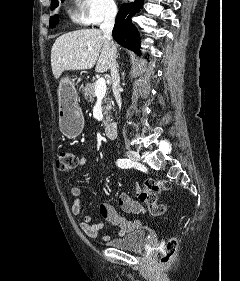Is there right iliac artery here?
<instances>
[{"label":"right iliac artery","mask_w":240,"mask_h":281,"mask_svg":"<svg viewBox=\"0 0 240 281\" xmlns=\"http://www.w3.org/2000/svg\"><path fill=\"white\" fill-rule=\"evenodd\" d=\"M116 163L122 169L131 168L133 166V162L130 159H118Z\"/></svg>","instance_id":"82829eb1"}]
</instances>
